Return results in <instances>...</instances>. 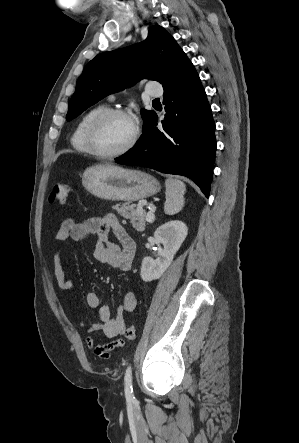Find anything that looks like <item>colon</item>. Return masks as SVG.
I'll list each match as a JSON object with an SVG mask.
<instances>
[{
    "label": "colon",
    "instance_id": "colon-1",
    "mask_svg": "<svg viewBox=\"0 0 299 443\" xmlns=\"http://www.w3.org/2000/svg\"><path fill=\"white\" fill-rule=\"evenodd\" d=\"M70 191L69 185L64 181L57 182L51 189L49 195V202L51 204L63 205L65 204ZM124 336L129 341H134L137 337L136 327L134 325L129 326L124 331Z\"/></svg>",
    "mask_w": 299,
    "mask_h": 443
}]
</instances>
